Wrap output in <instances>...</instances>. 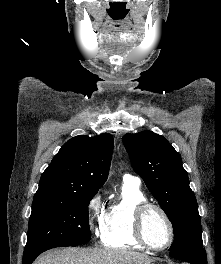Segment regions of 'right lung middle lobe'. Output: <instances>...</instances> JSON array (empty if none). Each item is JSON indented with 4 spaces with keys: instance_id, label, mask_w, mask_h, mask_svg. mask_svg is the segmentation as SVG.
Segmentation results:
<instances>
[{
    "instance_id": "right-lung-middle-lobe-1",
    "label": "right lung middle lobe",
    "mask_w": 221,
    "mask_h": 264,
    "mask_svg": "<svg viewBox=\"0 0 221 264\" xmlns=\"http://www.w3.org/2000/svg\"><path fill=\"white\" fill-rule=\"evenodd\" d=\"M96 193H36L24 257L90 241L88 205Z\"/></svg>"
}]
</instances>
